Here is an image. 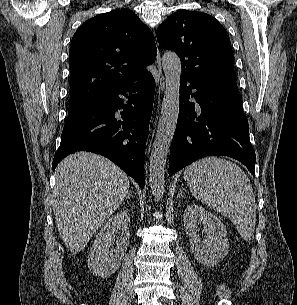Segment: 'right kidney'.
<instances>
[{
  "label": "right kidney",
  "instance_id": "right-kidney-1",
  "mask_svg": "<svg viewBox=\"0 0 297 305\" xmlns=\"http://www.w3.org/2000/svg\"><path fill=\"white\" fill-rule=\"evenodd\" d=\"M129 222V213L120 210L100 230L88 256V268L92 274L103 278L119 268L130 240ZM118 231L120 234L116 236ZM115 238L116 248H113Z\"/></svg>",
  "mask_w": 297,
  "mask_h": 305
}]
</instances>
